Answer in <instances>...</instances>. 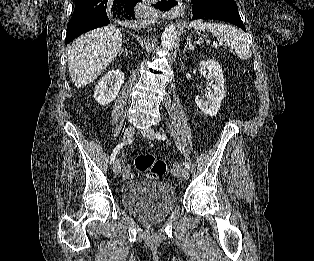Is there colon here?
I'll return each instance as SVG.
<instances>
[{
  "mask_svg": "<svg viewBox=\"0 0 314 261\" xmlns=\"http://www.w3.org/2000/svg\"><path fill=\"white\" fill-rule=\"evenodd\" d=\"M135 166L138 174H145L151 179H156L162 177L167 172L166 163L163 160L156 158L150 154H142L136 157ZM180 173V166L175 165L171 169V174L174 176H178ZM133 176L134 174H129Z\"/></svg>",
  "mask_w": 314,
  "mask_h": 261,
  "instance_id": "1",
  "label": "colon"
}]
</instances>
